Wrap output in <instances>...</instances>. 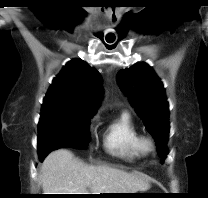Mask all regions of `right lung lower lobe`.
I'll use <instances>...</instances> for the list:
<instances>
[{"label":"right lung lower lobe","mask_w":208,"mask_h":198,"mask_svg":"<svg viewBox=\"0 0 208 198\" xmlns=\"http://www.w3.org/2000/svg\"><path fill=\"white\" fill-rule=\"evenodd\" d=\"M59 148H64V146L58 147L57 149H59ZM41 161H43V160H41Z\"/></svg>","instance_id":"obj_1"}]
</instances>
